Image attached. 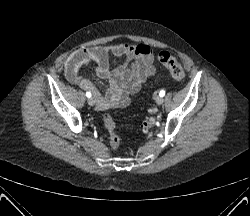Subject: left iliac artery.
<instances>
[{
  "label": "left iliac artery",
  "mask_w": 250,
  "mask_h": 216,
  "mask_svg": "<svg viewBox=\"0 0 250 216\" xmlns=\"http://www.w3.org/2000/svg\"><path fill=\"white\" fill-rule=\"evenodd\" d=\"M159 95L163 97L165 95V91L161 90L160 93H159Z\"/></svg>",
  "instance_id": "1"
}]
</instances>
